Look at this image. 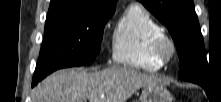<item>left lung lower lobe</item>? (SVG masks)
Returning <instances> with one entry per match:
<instances>
[{
    "label": "left lung lower lobe",
    "mask_w": 221,
    "mask_h": 102,
    "mask_svg": "<svg viewBox=\"0 0 221 102\" xmlns=\"http://www.w3.org/2000/svg\"><path fill=\"white\" fill-rule=\"evenodd\" d=\"M208 84V83H207ZM207 84H203V85H201L204 89H206V87H207Z\"/></svg>",
    "instance_id": "0a47b994"
}]
</instances>
